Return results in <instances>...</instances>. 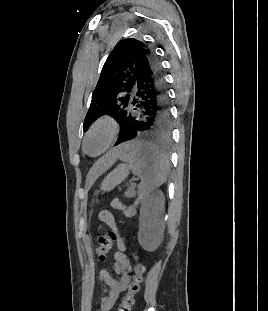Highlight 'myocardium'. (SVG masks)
I'll list each match as a JSON object with an SVG mask.
<instances>
[{"instance_id":"myocardium-1","label":"myocardium","mask_w":268,"mask_h":311,"mask_svg":"<svg viewBox=\"0 0 268 311\" xmlns=\"http://www.w3.org/2000/svg\"><path fill=\"white\" fill-rule=\"evenodd\" d=\"M104 130L107 133V138L102 146V148L96 152L91 153L88 151L87 143L89 138L96 133L97 131ZM118 134V123L116 120L111 116H102L95 120L92 125L87 130L84 139H83V147L86 153L92 155V156H99L106 152L108 148L113 144V142L116 140Z\"/></svg>"}]
</instances>
